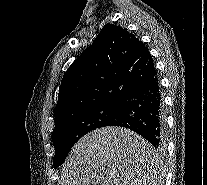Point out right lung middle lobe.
Listing matches in <instances>:
<instances>
[{
  "mask_svg": "<svg viewBox=\"0 0 207 185\" xmlns=\"http://www.w3.org/2000/svg\"><path fill=\"white\" fill-rule=\"evenodd\" d=\"M121 104H104L71 115L58 123L52 133L55 155L53 166H61L72 146L85 134L115 121Z\"/></svg>",
  "mask_w": 207,
  "mask_h": 185,
  "instance_id": "obj_1",
  "label": "right lung middle lobe"
}]
</instances>
